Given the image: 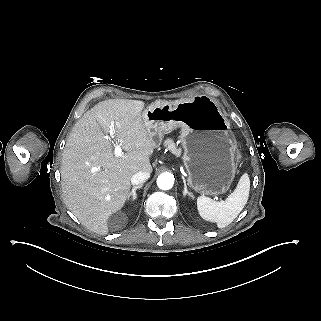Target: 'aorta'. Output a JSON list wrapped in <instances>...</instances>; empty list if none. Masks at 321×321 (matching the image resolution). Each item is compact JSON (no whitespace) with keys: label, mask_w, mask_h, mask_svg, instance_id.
<instances>
[{"label":"aorta","mask_w":321,"mask_h":321,"mask_svg":"<svg viewBox=\"0 0 321 321\" xmlns=\"http://www.w3.org/2000/svg\"><path fill=\"white\" fill-rule=\"evenodd\" d=\"M174 176L171 173H162L157 178V186L162 190H169L173 187Z\"/></svg>","instance_id":"1"}]
</instances>
